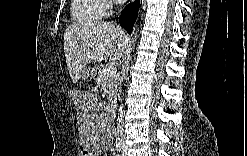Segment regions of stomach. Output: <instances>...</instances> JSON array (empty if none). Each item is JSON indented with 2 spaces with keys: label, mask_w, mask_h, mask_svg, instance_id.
<instances>
[{
  "label": "stomach",
  "mask_w": 247,
  "mask_h": 156,
  "mask_svg": "<svg viewBox=\"0 0 247 156\" xmlns=\"http://www.w3.org/2000/svg\"><path fill=\"white\" fill-rule=\"evenodd\" d=\"M97 71H98L97 67L93 68L91 71L88 67H85L82 70L81 76L82 78H88L89 75H91L93 78H95L97 76Z\"/></svg>",
  "instance_id": "0dacf381"
}]
</instances>
